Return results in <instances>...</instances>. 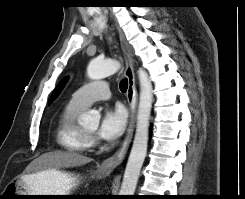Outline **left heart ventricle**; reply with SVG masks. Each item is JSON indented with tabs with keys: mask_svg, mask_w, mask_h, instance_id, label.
Masks as SVG:
<instances>
[{
	"mask_svg": "<svg viewBox=\"0 0 245 199\" xmlns=\"http://www.w3.org/2000/svg\"><path fill=\"white\" fill-rule=\"evenodd\" d=\"M97 127H98V125L94 124V125L90 126L89 128H87L86 131L91 133V134H95Z\"/></svg>",
	"mask_w": 245,
	"mask_h": 199,
	"instance_id": "1",
	"label": "left heart ventricle"
}]
</instances>
